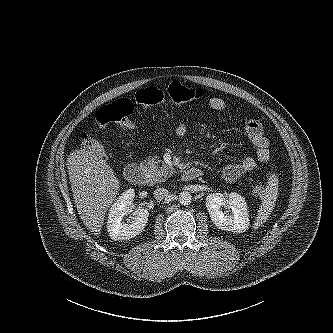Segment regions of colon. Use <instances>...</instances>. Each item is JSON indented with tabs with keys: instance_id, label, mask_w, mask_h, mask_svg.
Masks as SVG:
<instances>
[{
	"instance_id": "colon-1",
	"label": "colon",
	"mask_w": 333,
	"mask_h": 333,
	"mask_svg": "<svg viewBox=\"0 0 333 333\" xmlns=\"http://www.w3.org/2000/svg\"><path fill=\"white\" fill-rule=\"evenodd\" d=\"M204 91L201 88L188 87L178 81H173L166 92L149 87L141 89L136 93V101L144 107H152L170 102L174 105H180L201 99ZM134 111V104L129 99H120L111 104L101 107L93 116L92 122L99 128L116 126L123 130L133 127L131 115ZM82 141L85 146L92 151H100L99 141L94 137L92 130H86L82 134ZM268 187L258 185L253 188L254 193L263 194Z\"/></svg>"
}]
</instances>
